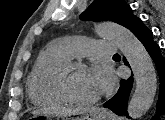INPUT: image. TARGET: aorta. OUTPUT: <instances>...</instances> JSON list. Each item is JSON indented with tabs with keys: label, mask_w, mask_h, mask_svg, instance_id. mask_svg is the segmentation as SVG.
Returning a JSON list of instances; mask_svg holds the SVG:
<instances>
[{
	"label": "aorta",
	"mask_w": 165,
	"mask_h": 120,
	"mask_svg": "<svg viewBox=\"0 0 165 120\" xmlns=\"http://www.w3.org/2000/svg\"><path fill=\"white\" fill-rule=\"evenodd\" d=\"M96 32L114 41L128 60L136 89L127 111L131 118H141L152 105L156 93V73L148 52L128 29L117 23H99Z\"/></svg>",
	"instance_id": "762f6f07"
}]
</instances>
